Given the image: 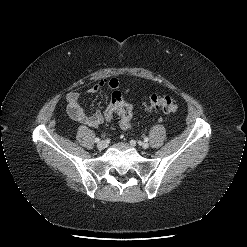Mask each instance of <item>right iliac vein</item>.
<instances>
[{"instance_id":"right-iliac-vein-1","label":"right iliac vein","mask_w":247,"mask_h":247,"mask_svg":"<svg viewBox=\"0 0 247 247\" xmlns=\"http://www.w3.org/2000/svg\"><path fill=\"white\" fill-rule=\"evenodd\" d=\"M106 147H107L106 141H100V142L97 144V148H98L99 150H103V149H105Z\"/></svg>"}]
</instances>
